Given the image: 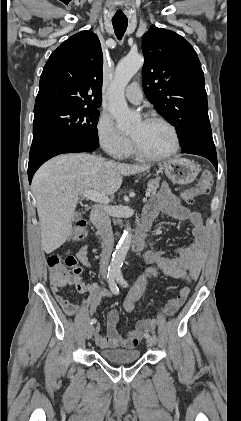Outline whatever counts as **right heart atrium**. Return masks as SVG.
<instances>
[{
    "label": "right heart atrium",
    "instance_id": "d8ad5b80",
    "mask_svg": "<svg viewBox=\"0 0 241 421\" xmlns=\"http://www.w3.org/2000/svg\"><path fill=\"white\" fill-rule=\"evenodd\" d=\"M96 132L101 147L110 155L123 157L130 142L126 135L120 132L113 119L107 113H102L96 124Z\"/></svg>",
    "mask_w": 241,
    "mask_h": 421
}]
</instances>
